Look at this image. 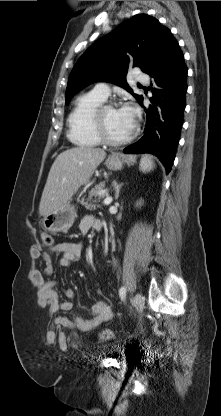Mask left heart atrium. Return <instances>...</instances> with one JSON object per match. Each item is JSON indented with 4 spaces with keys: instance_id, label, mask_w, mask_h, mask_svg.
I'll use <instances>...</instances> for the list:
<instances>
[{
    "instance_id": "1",
    "label": "left heart atrium",
    "mask_w": 221,
    "mask_h": 416,
    "mask_svg": "<svg viewBox=\"0 0 221 416\" xmlns=\"http://www.w3.org/2000/svg\"><path fill=\"white\" fill-rule=\"evenodd\" d=\"M122 115L125 117L129 125L133 128L135 124L136 110L132 106H124L120 109Z\"/></svg>"
}]
</instances>
